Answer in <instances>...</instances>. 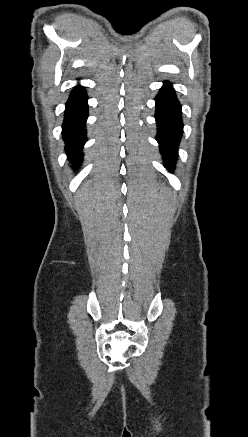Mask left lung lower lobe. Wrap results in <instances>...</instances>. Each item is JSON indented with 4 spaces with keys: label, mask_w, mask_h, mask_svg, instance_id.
<instances>
[{
    "label": "left lung lower lobe",
    "mask_w": 248,
    "mask_h": 437,
    "mask_svg": "<svg viewBox=\"0 0 248 437\" xmlns=\"http://www.w3.org/2000/svg\"><path fill=\"white\" fill-rule=\"evenodd\" d=\"M156 123L158 126L157 141L166 161V168L173 169L176 160V149L182 135L183 123L181 106L174 89L165 82L156 96Z\"/></svg>",
    "instance_id": "1"
}]
</instances>
